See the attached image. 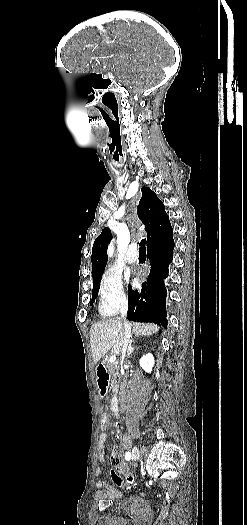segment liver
Returning a JSON list of instances; mask_svg holds the SVG:
<instances>
[{
    "instance_id": "6515ba94",
    "label": "liver",
    "mask_w": 247,
    "mask_h": 525,
    "mask_svg": "<svg viewBox=\"0 0 247 525\" xmlns=\"http://www.w3.org/2000/svg\"><path fill=\"white\" fill-rule=\"evenodd\" d=\"M135 337H150L152 333H158L160 327L154 323H128ZM124 325L121 317L118 319H105L94 323L90 329L91 351L95 365L105 357L109 351L115 355H121L122 337Z\"/></svg>"
}]
</instances>
